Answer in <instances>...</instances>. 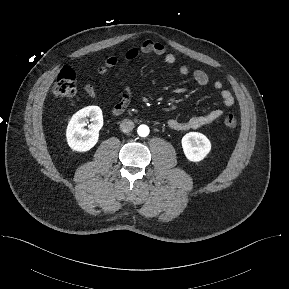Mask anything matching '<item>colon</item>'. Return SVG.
Wrapping results in <instances>:
<instances>
[{
  "label": "colon",
  "mask_w": 289,
  "mask_h": 289,
  "mask_svg": "<svg viewBox=\"0 0 289 289\" xmlns=\"http://www.w3.org/2000/svg\"><path fill=\"white\" fill-rule=\"evenodd\" d=\"M53 93L57 97H73L76 94V73L71 67H64L53 87ZM224 125L234 129L237 125V118L229 113L224 118Z\"/></svg>",
  "instance_id": "colon-1"
}]
</instances>
